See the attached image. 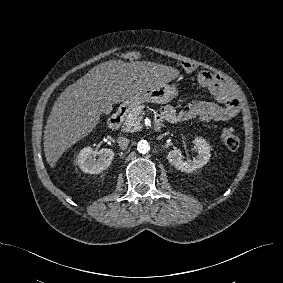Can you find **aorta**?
Returning <instances> with one entry per match:
<instances>
[{
  "label": "aorta",
  "mask_w": 283,
  "mask_h": 283,
  "mask_svg": "<svg viewBox=\"0 0 283 283\" xmlns=\"http://www.w3.org/2000/svg\"><path fill=\"white\" fill-rule=\"evenodd\" d=\"M137 150H138V152H140L142 154L147 153L150 150V145H149L148 141L140 140L137 143Z\"/></svg>",
  "instance_id": "obj_1"
}]
</instances>
